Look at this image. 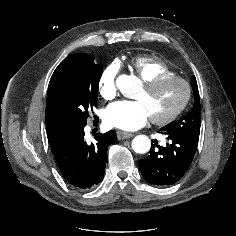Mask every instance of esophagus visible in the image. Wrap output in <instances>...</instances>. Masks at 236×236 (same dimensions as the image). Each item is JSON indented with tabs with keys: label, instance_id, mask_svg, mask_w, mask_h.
Segmentation results:
<instances>
[{
	"label": "esophagus",
	"instance_id": "1",
	"mask_svg": "<svg viewBox=\"0 0 236 236\" xmlns=\"http://www.w3.org/2000/svg\"><path fill=\"white\" fill-rule=\"evenodd\" d=\"M132 136H133V134L130 133V132H125V131H120V130L117 131V138L119 140L127 139V138H130Z\"/></svg>",
	"mask_w": 236,
	"mask_h": 236
}]
</instances>
